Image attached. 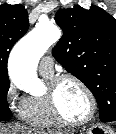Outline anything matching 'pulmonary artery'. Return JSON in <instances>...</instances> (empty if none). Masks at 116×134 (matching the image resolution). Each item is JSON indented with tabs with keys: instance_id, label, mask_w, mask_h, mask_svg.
<instances>
[{
	"instance_id": "obj_1",
	"label": "pulmonary artery",
	"mask_w": 116,
	"mask_h": 134,
	"mask_svg": "<svg viewBox=\"0 0 116 134\" xmlns=\"http://www.w3.org/2000/svg\"><path fill=\"white\" fill-rule=\"evenodd\" d=\"M54 71V60L51 56H45L39 63V72L42 75H52Z\"/></svg>"
}]
</instances>
